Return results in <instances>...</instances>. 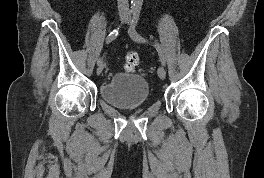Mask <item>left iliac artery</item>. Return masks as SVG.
Listing matches in <instances>:
<instances>
[{"label":"left iliac artery","mask_w":264,"mask_h":178,"mask_svg":"<svg viewBox=\"0 0 264 178\" xmlns=\"http://www.w3.org/2000/svg\"><path fill=\"white\" fill-rule=\"evenodd\" d=\"M139 16H140V11L139 10L134 11L132 24H131L130 29H129V35L133 40H135L137 42L146 43L147 40L144 37H142L141 35H139L137 33V31L135 30V26L139 20ZM154 46L156 47V49L158 51L159 58H160L162 65H165L166 59H165V54H164L163 48L158 43H155Z\"/></svg>","instance_id":"44dca946"}]
</instances>
